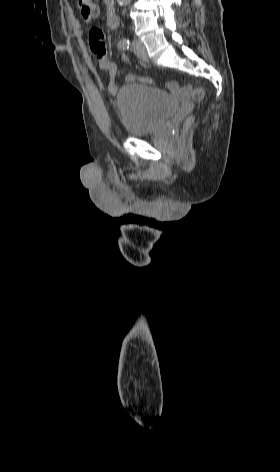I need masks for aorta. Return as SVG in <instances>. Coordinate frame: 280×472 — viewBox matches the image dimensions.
Segmentation results:
<instances>
[{
    "instance_id": "1",
    "label": "aorta",
    "mask_w": 280,
    "mask_h": 472,
    "mask_svg": "<svg viewBox=\"0 0 280 472\" xmlns=\"http://www.w3.org/2000/svg\"><path fill=\"white\" fill-rule=\"evenodd\" d=\"M119 4H125L130 2V0H117Z\"/></svg>"
}]
</instances>
